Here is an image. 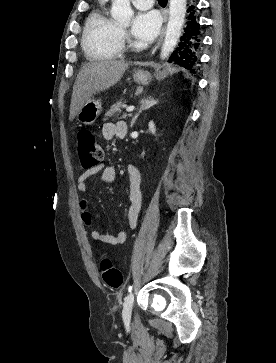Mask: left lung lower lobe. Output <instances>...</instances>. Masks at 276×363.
<instances>
[{"label": "left lung lower lobe", "instance_id": "0a47b994", "mask_svg": "<svg viewBox=\"0 0 276 363\" xmlns=\"http://www.w3.org/2000/svg\"><path fill=\"white\" fill-rule=\"evenodd\" d=\"M195 1L191 0V6L187 10L189 15L187 17L186 27L180 37V42L171 54L169 62H174L176 65L184 68L185 70L195 73V66L197 63V49L199 47V24L196 22L195 16Z\"/></svg>", "mask_w": 276, "mask_h": 363}]
</instances>
